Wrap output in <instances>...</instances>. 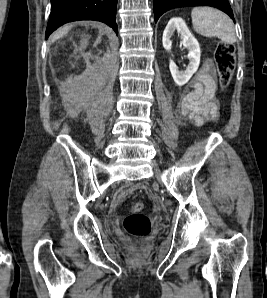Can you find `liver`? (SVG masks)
Wrapping results in <instances>:
<instances>
[{"label": "liver", "instance_id": "1", "mask_svg": "<svg viewBox=\"0 0 267 298\" xmlns=\"http://www.w3.org/2000/svg\"><path fill=\"white\" fill-rule=\"evenodd\" d=\"M70 29H71L70 25L60 28L56 33H54V35L52 37V41H55V40L63 37L65 34H67L69 32Z\"/></svg>", "mask_w": 267, "mask_h": 298}]
</instances>
